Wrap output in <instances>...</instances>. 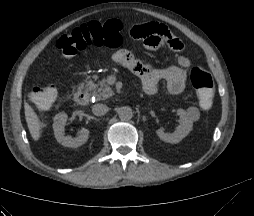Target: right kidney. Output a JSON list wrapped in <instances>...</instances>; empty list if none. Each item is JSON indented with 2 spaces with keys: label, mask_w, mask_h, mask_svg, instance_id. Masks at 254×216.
<instances>
[{
  "label": "right kidney",
  "mask_w": 254,
  "mask_h": 216,
  "mask_svg": "<svg viewBox=\"0 0 254 216\" xmlns=\"http://www.w3.org/2000/svg\"><path fill=\"white\" fill-rule=\"evenodd\" d=\"M67 114L59 113L54 117L53 130L56 140L65 147L77 148L86 143L89 137V130L82 128L76 138L65 136L64 127L67 122Z\"/></svg>",
  "instance_id": "1"
}]
</instances>
